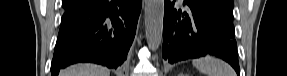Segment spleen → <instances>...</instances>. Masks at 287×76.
<instances>
[{"mask_svg": "<svg viewBox=\"0 0 287 76\" xmlns=\"http://www.w3.org/2000/svg\"><path fill=\"white\" fill-rule=\"evenodd\" d=\"M193 65L207 76H235V71L226 62L213 58L205 57L193 61Z\"/></svg>", "mask_w": 287, "mask_h": 76, "instance_id": "spleen-1", "label": "spleen"}]
</instances>
